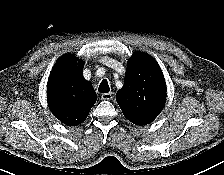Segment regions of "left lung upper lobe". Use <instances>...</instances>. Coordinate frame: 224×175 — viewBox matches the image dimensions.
<instances>
[{
	"label": "left lung upper lobe",
	"instance_id": "obj_1",
	"mask_svg": "<svg viewBox=\"0 0 224 175\" xmlns=\"http://www.w3.org/2000/svg\"><path fill=\"white\" fill-rule=\"evenodd\" d=\"M116 101L124 116L136 125H147L155 120L165 105L166 83L154 58L144 52L130 58Z\"/></svg>",
	"mask_w": 224,
	"mask_h": 175
}]
</instances>
